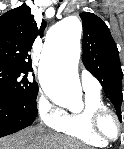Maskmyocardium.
I'll use <instances>...</instances> for the list:
<instances>
[{
  "label": "myocardium",
  "mask_w": 124,
  "mask_h": 149,
  "mask_svg": "<svg viewBox=\"0 0 124 149\" xmlns=\"http://www.w3.org/2000/svg\"><path fill=\"white\" fill-rule=\"evenodd\" d=\"M107 119L114 120L116 124V134L114 136L109 135L105 128L104 123ZM92 129L94 133L106 142H115L122 135V123L118 115L108 107L99 108L92 113Z\"/></svg>",
  "instance_id": "obj_1"
}]
</instances>
